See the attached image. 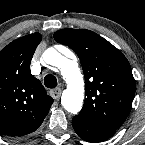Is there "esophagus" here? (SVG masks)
I'll return each mask as SVG.
<instances>
[{"mask_svg":"<svg viewBox=\"0 0 145 145\" xmlns=\"http://www.w3.org/2000/svg\"><path fill=\"white\" fill-rule=\"evenodd\" d=\"M61 93H62V89L58 88V89L51 91V96L53 97V99L57 100L60 98Z\"/></svg>","mask_w":145,"mask_h":145,"instance_id":"34e87169","label":"esophagus"}]
</instances>
